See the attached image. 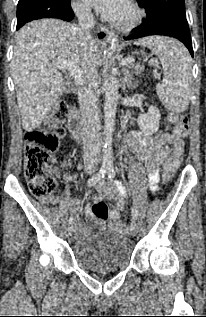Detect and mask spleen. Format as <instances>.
<instances>
[{
  "label": "spleen",
  "mask_w": 206,
  "mask_h": 317,
  "mask_svg": "<svg viewBox=\"0 0 206 317\" xmlns=\"http://www.w3.org/2000/svg\"><path fill=\"white\" fill-rule=\"evenodd\" d=\"M135 45H144L159 58L163 70V83L156 86L162 104L174 112H183L190 101L191 57L187 49L177 40L167 37H146Z\"/></svg>",
  "instance_id": "spleen-1"
}]
</instances>
